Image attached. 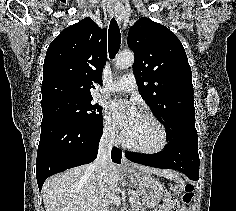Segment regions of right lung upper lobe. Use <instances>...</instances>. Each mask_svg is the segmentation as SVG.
<instances>
[{
    "label": "right lung upper lobe",
    "mask_w": 236,
    "mask_h": 211,
    "mask_svg": "<svg viewBox=\"0 0 236 211\" xmlns=\"http://www.w3.org/2000/svg\"><path fill=\"white\" fill-rule=\"evenodd\" d=\"M107 57V31L87 17L64 29L47 49L43 64L42 101L92 98L101 84Z\"/></svg>",
    "instance_id": "1"
}]
</instances>
